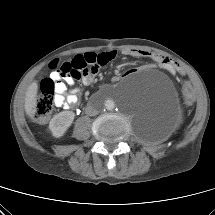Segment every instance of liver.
<instances>
[{
  "label": "liver",
  "instance_id": "6515ba94",
  "mask_svg": "<svg viewBox=\"0 0 215 215\" xmlns=\"http://www.w3.org/2000/svg\"><path fill=\"white\" fill-rule=\"evenodd\" d=\"M37 93H38V84L37 82H32L27 89L26 96H25V112L26 114L31 117L34 115L36 110L37 104Z\"/></svg>",
  "mask_w": 215,
  "mask_h": 215
}]
</instances>
